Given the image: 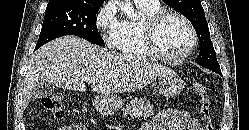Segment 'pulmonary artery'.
Segmentation results:
<instances>
[{
  "label": "pulmonary artery",
  "mask_w": 249,
  "mask_h": 130,
  "mask_svg": "<svg viewBox=\"0 0 249 130\" xmlns=\"http://www.w3.org/2000/svg\"><path fill=\"white\" fill-rule=\"evenodd\" d=\"M134 1H139V2H144V3H149V4H158V0H134Z\"/></svg>",
  "instance_id": "pulmonary-artery-1"
}]
</instances>
